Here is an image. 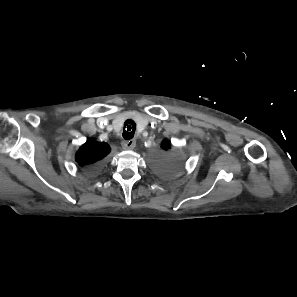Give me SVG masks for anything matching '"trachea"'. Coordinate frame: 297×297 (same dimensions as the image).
Listing matches in <instances>:
<instances>
[{"label": "trachea", "mask_w": 297, "mask_h": 297, "mask_svg": "<svg viewBox=\"0 0 297 297\" xmlns=\"http://www.w3.org/2000/svg\"><path fill=\"white\" fill-rule=\"evenodd\" d=\"M135 129L136 123L131 119L126 120L124 123V129L122 133L123 138L125 140L132 139L134 137Z\"/></svg>", "instance_id": "1"}]
</instances>
